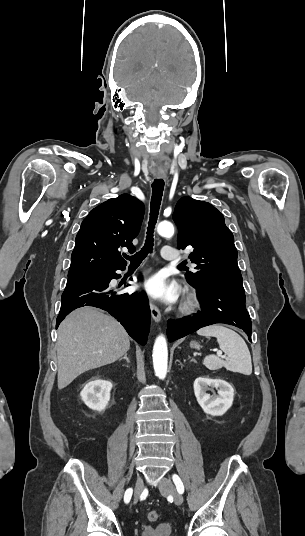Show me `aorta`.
I'll use <instances>...</instances> for the list:
<instances>
[{"instance_id":"aorta-1","label":"aorta","mask_w":305,"mask_h":536,"mask_svg":"<svg viewBox=\"0 0 305 536\" xmlns=\"http://www.w3.org/2000/svg\"><path fill=\"white\" fill-rule=\"evenodd\" d=\"M157 232L163 237H171L174 234V226L171 222H160L157 227ZM152 358L155 374L159 379L163 380L166 377L168 367V348L164 335H159L156 338L153 346Z\"/></svg>"}]
</instances>
